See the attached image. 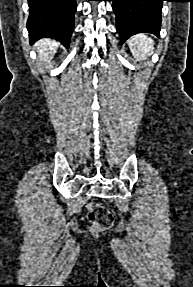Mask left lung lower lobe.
I'll return each instance as SVG.
<instances>
[{
    "label": "left lung lower lobe",
    "instance_id": "0a47b994",
    "mask_svg": "<svg viewBox=\"0 0 193 287\" xmlns=\"http://www.w3.org/2000/svg\"><path fill=\"white\" fill-rule=\"evenodd\" d=\"M113 1L116 28L121 43L130 36L148 32L159 35L162 3L166 0H109Z\"/></svg>",
    "mask_w": 193,
    "mask_h": 287
}]
</instances>
